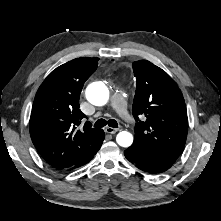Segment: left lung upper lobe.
I'll return each instance as SVG.
<instances>
[{
    "label": "left lung upper lobe",
    "mask_w": 221,
    "mask_h": 221,
    "mask_svg": "<svg viewBox=\"0 0 221 221\" xmlns=\"http://www.w3.org/2000/svg\"><path fill=\"white\" fill-rule=\"evenodd\" d=\"M133 71L136 92L132 111L137 122L133 144L174 163L183 150L188 131L183 95L165 71L147 60L134 62Z\"/></svg>",
    "instance_id": "obj_1"
}]
</instances>
